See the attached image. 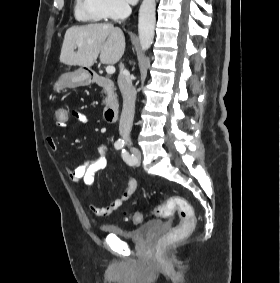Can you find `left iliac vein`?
<instances>
[{"mask_svg":"<svg viewBox=\"0 0 280 283\" xmlns=\"http://www.w3.org/2000/svg\"><path fill=\"white\" fill-rule=\"evenodd\" d=\"M132 155L134 157V163L135 165H138L140 163V160H141V153L138 149L134 148L132 150Z\"/></svg>","mask_w":280,"mask_h":283,"instance_id":"obj_1","label":"left iliac vein"}]
</instances>
